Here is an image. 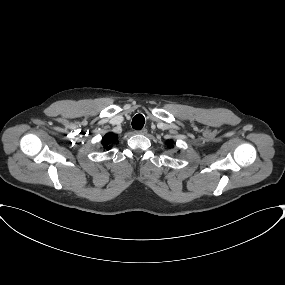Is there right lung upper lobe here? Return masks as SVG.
<instances>
[{
	"label": "right lung upper lobe",
	"instance_id": "cb5924a9",
	"mask_svg": "<svg viewBox=\"0 0 285 285\" xmlns=\"http://www.w3.org/2000/svg\"><path fill=\"white\" fill-rule=\"evenodd\" d=\"M117 135L114 133H107L101 143L104 146L105 149L109 150L111 148V144H115L117 142Z\"/></svg>",
	"mask_w": 285,
	"mask_h": 285
}]
</instances>
